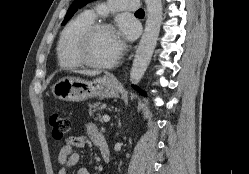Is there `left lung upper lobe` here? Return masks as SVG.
<instances>
[{
	"label": "left lung upper lobe",
	"instance_id": "5c2ea615",
	"mask_svg": "<svg viewBox=\"0 0 249 174\" xmlns=\"http://www.w3.org/2000/svg\"><path fill=\"white\" fill-rule=\"evenodd\" d=\"M93 0H75L70 8L67 11V14L65 16L64 21L62 22V25H64L70 18L73 16V14L81 7L85 6L87 3L91 2Z\"/></svg>",
	"mask_w": 249,
	"mask_h": 174
}]
</instances>
